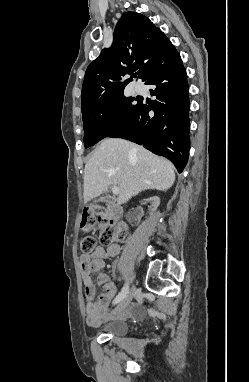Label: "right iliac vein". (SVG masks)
Wrapping results in <instances>:
<instances>
[{"label": "right iliac vein", "instance_id": "1", "mask_svg": "<svg viewBox=\"0 0 249 382\" xmlns=\"http://www.w3.org/2000/svg\"><path fill=\"white\" fill-rule=\"evenodd\" d=\"M135 292H136V288L132 287L131 290L129 292H127L126 296L117 305V307L114 310V313H118V312L122 311L123 309H125L129 305V303L131 302Z\"/></svg>", "mask_w": 249, "mask_h": 382}]
</instances>
